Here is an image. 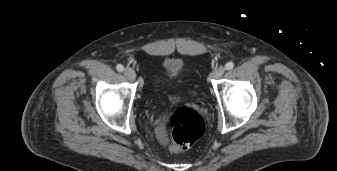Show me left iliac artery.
I'll list each match as a JSON object with an SVG mask.
<instances>
[{"label": "left iliac artery", "mask_w": 337, "mask_h": 171, "mask_svg": "<svg viewBox=\"0 0 337 171\" xmlns=\"http://www.w3.org/2000/svg\"><path fill=\"white\" fill-rule=\"evenodd\" d=\"M233 67H234V63L231 62V61L227 62L226 65H225L226 70H231V69H233Z\"/></svg>", "instance_id": "left-iliac-artery-1"}]
</instances>
